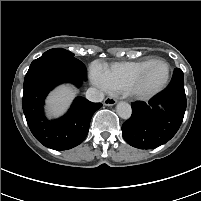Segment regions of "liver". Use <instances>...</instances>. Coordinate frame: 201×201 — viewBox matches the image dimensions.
Listing matches in <instances>:
<instances>
[{
    "label": "liver",
    "instance_id": "liver-1",
    "mask_svg": "<svg viewBox=\"0 0 201 201\" xmlns=\"http://www.w3.org/2000/svg\"><path fill=\"white\" fill-rule=\"evenodd\" d=\"M76 91L69 86H61L52 92L47 99V110L50 115H59L69 106Z\"/></svg>",
    "mask_w": 201,
    "mask_h": 201
}]
</instances>
